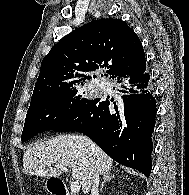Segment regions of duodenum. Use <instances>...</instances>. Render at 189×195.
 Here are the masks:
<instances>
[{
  "label": "duodenum",
  "instance_id": "410a0bca",
  "mask_svg": "<svg viewBox=\"0 0 189 195\" xmlns=\"http://www.w3.org/2000/svg\"><path fill=\"white\" fill-rule=\"evenodd\" d=\"M52 195H70L65 185L60 180H55L50 188Z\"/></svg>",
  "mask_w": 189,
  "mask_h": 195
}]
</instances>
